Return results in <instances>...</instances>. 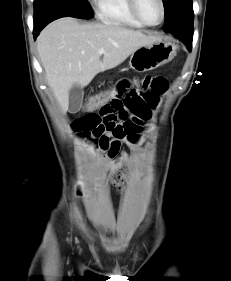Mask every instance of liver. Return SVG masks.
Instances as JSON below:
<instances>
[{"label":"liver","instance_id":"6515ba94","mask_svg":"<svg viewBox=\"0 0 231 281\" xmlns=\"http://www.w3.org/2000/svg\"><path fill=\"white\" fill-rule=\"evenodd\" d=\"M160 39L118 24H80L64 17L42 30L37 49L46 82L66 113L73 85L87 86L98 73L117 67L138 48Z\"/></svg>","mask_w":231,"mask_h":281}]
</instances>
